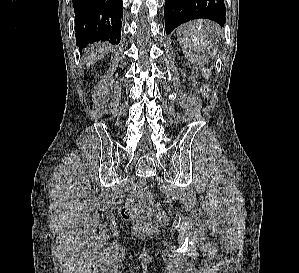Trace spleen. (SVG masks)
Returning <instances> with one entry per match:
<instances>
[{"instance_id": "obj_1", "label": "spleen", "mask_w": 299, "mask_h": 273, "mask_svg": "<svg viewBox=\"0 0 299 273\" xmlns=\"http://www.w3.org/2000/svg\"><path fill=\"white\" fill-rule=\"evenodd\" d=\"M177 39L184 56L193 64L205 65L217 54L220 27L208 20H194L178 27Z\"/></svg>"}]
</instances>
